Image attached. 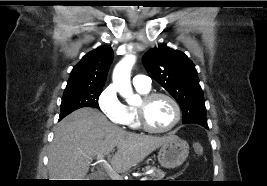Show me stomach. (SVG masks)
<instances>
[{"label":"stomach","instance_id":"stomach-1","mask_svg":"<svg viewBox=\"0 0 267 186\" xmlns=\"http://www.w3.org/2000/svg\"><path fill=\"white\" fill-rule=\"evenodd\" d=\"M189 154V145L176 135L160 146L158 161L165 168H176L184 163Z\"/></svg>","mask_w":267,"mask_h":186}]
</instances>
